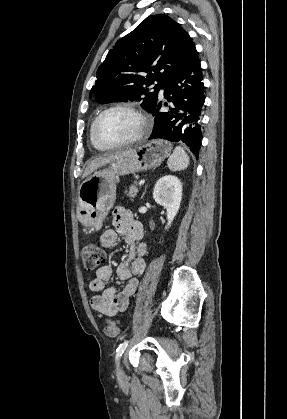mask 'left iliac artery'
<instances>
[{"label":"left iliac artery","instance_id":"left-iliac-artery-1","mask_svg":"<svg viewBox=\"0 0 287 419\" xmlns=\"http://www.w3.org/2000/svg\"><path fill=\"white\" fill-rule=\"evenodd\" d=\"M127 345H128V341H125L124 343L119 345V347L116 350V360H118L122 356Z\"/></svg>","mask_w":287,"mask_h":419}]
</instances>
